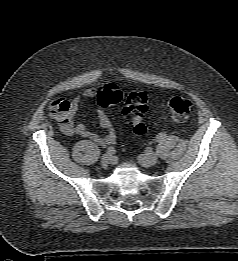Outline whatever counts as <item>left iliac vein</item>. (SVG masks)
I'll return each instance as SVG.
<instances>
[{
  "label": "left iliac vein",
  "mask_w": 238,
  "mask_h": 261,
  "mask_svg": "<svg viewBox=\"0 0 238 261\" xmlns=\"http://www.w3.org/2000/svg\"><path fill=\"white\" fill-rule=\"evenodd\" d=\"M158 156L154 152H148L145 154H140L138 156V162L144 167H150L157 163Z\"/></svg>",
  "instance_id": "4c4485c4"
}]
</instances>
